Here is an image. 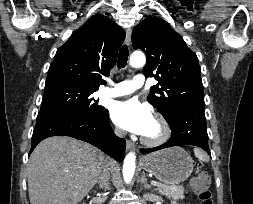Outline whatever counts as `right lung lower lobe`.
I'll return each instance as SVG.
<instances>
[{"mask_svg": "<svg viewBox=\"0 0 253 204\" xmlns=\"http://www.w3.org/2000/svg\"><path fill=\"white\" fill-rule=\"evenodd\" d=\"M56 135L70 136L88 142L117 161H122L125 156L126 142L112 131L108 110H105L99 117L68 111H40L33 131L29 154L40 141Z\"/></svg>", "mask_w": 253, "mask_h": 204, "instance_id": "right-lung-lower-lobe-1", "label": "right lung lower lobe"}]
</instances>
